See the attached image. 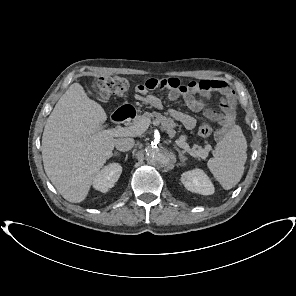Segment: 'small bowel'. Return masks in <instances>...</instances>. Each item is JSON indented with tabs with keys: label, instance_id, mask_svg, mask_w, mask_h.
Listing matches in <instances>:
<instances>
[{
	"label": "small bowel",
	"instance_id": "1",
	"mask_svg": "<svg viewBox=\"0 0 296 296\" xmlns=\"http://www.w3.org/2000/svg\"><path fill=\"white\" fill-rule=\"evenodd\" d=\"M156 88L166 89L170 100L183 99L188 108L194 112L205 109L207 97L212 92L220 94L219 112L207 111L209 118L217 121L219 127L216 131L218 138H223L233 125L236 113V98L232 87L225 81L214 79H202L182 84L177 78L147 79L135 88V98L144 101L155 108L161 107V100L150 93ZM170 115L180 122L186 129L196 126V119L188 113L172 109Z\"/></svg>",
	"mask_w": 296,
	"mask_h": 296
}]
</instances>
